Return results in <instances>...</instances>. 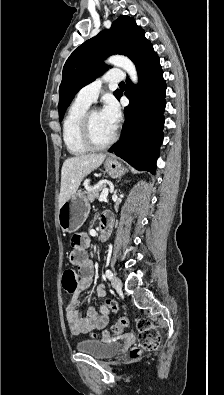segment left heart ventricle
I'll use <instances>...</instances> for the list:
<instances>
[{
	"label": "left heart ventricle",
	"mask_w": 224,
	"mask_h": 395,
	"mask_svg": "<svg viewBox=\"0 0 224 395\" xmlns=\"http://www.w3.org/2000/svg\"><path fill=\"white\" fill-rule=\"evenodd\" d=\"M110 124L102 117L100 111L93 112L91 116V132L97 143L106 142L114 133Z\"/></svg>",
	"instance_id": "b2bd125f"
}]
</instances>
